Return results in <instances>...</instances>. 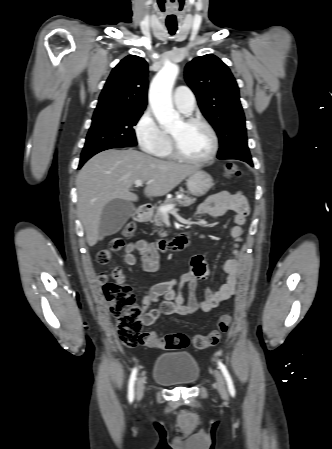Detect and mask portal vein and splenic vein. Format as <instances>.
Here are the masks:
<instances>
[{
    "label": "portal vein and splenic vein",
    "instance_id": "obj_1",
    "mask_svg": "<svg viewBox=\"0 0 332 449\" xmlns=\"http://www.w3.org/2000/svg\"><path fill=\"white\" fill-rule=\"evenodd\" d=\"M134 184L136 185V187H140V186L143 185V182H142L141 180H136V181L134 182ZM160 210H161V212H162L163 214H166V213H168V212L174 211V210H175V205H174V204L167 205V206L161 207Z\"/></svg>",
    "mask_w": 332,
    "mask_h": 449
}]
</instances>
